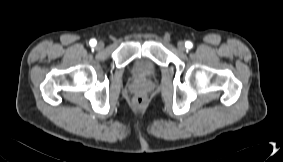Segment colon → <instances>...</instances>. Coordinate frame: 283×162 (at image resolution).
<instances>
[{
    "label": "colon",
    "instance_id": "obj_1",
    "mask_svg": "<svg viewBox=\"0 0 283 162\" xmlns=\"http://www.w3.org/2000/svg\"><path fill=\"white\" fill-rule=\"evenodd\" d=\"M134 102H135L136 105L141 106V105L144 104L145 99L142 95H137L134 99Z\"/></svg>",
    "mask_w": 283,
    "mask_h": 162
}]
</instances>
